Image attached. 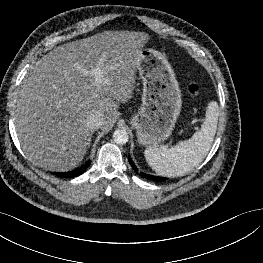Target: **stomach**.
<instances>
[{
    "instance_id": "0dacf381",
    "label": "stomach",
    "mask_w": 263,
    "mask_h": 263,
    "mask_svg": "<svg viewBox=\"0 0 263 263\" xmlns=\"http://www.w3.org/2000/svg\"><path fill=\"white\" fill-rule=\"evenodd\" d=\"M138 71L143 82L142 104L129 123L136 129L139 144L156 145L172 135L182 94L165 54L143 48Z\"/></svg>"
}]
</instances>
